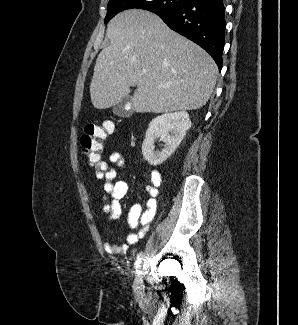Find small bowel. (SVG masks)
<instances>
[{
    "label": "small bowel",
    "instance_id": "c3829d8e",
    "mask_svg": "<svg viewBox=\"0 0 298 325\" xmlns=\"http://www.w3.org/2000/svg\"><path fill=\"white\" fill-rule=\"evenodd\" d=\"M125 165V159L121 153H111L107 160H99L95 164V176L99 180H103V213L110 223L115 222L122 211L121 200L128 191V183L125 180L114 182L116 177V167L122 168ZM162 183V176L159 171L152 170L150 179L146 184L147 200L145 208L139 203L131 206L128 213V226L130 233L127 235L126 245H118L109 241L104 243L106 252L110 254H122L127 251L128 245L136 244L149 229V226L156 214L157 201L156 197L159 187Z\"/></svg>",
    "mask_w": 298,
    "mask_h": 325
}]
</instances>
